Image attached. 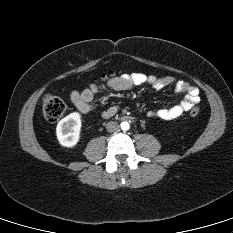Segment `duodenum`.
<instances>
[{"label":"duodenum","mask_w":233,"mask_h":233,"mask_svg":"<svg viewBox=\"0 0 233 233\" xmlns=\"http://www.w3.org/2000/svg\"><path fill=\"white\" fill-rule=\"evenodd\" d=\"M123 119H124V120H128V119H132V117H130V116H125V117H123Z\"/></svg>","instance_id":"obj_1"}]
</instances>
